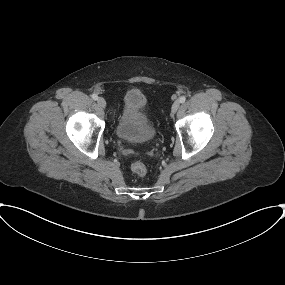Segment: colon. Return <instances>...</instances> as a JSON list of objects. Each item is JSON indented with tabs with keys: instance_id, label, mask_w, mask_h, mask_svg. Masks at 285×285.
Masks as SVG:
<instances>
[{
	"instance_id": "1",
	"label": "colon",
	"mask_w": 285,
	"mask_h": 285,
	"mask_svg": "<svg viewBox=\"0 0 285 285\" xmlns=\"http://www.w3.org/2000/svg\"><path fill=\"white\" fill-rule=\"evenodd\" d=\"M131 170L133 173H135L139 177H143L147 173L146 166L142 162H139V161L133 162L131 164Z\"/></svg>"
}]
</instances>
